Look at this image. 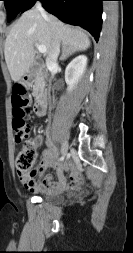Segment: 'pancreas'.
<instances>
[{"label": "pancreas", "mask_w": 133, "mask_h": 253, "mask_svg": "<svg viewBox=\"0 0 133 253\" xmlns=\"http://www.w3.org/2000/svg\"><path fill=\"white\" fill-rule=\"evenodd\" d=\"M40 88H41V82H40V80L37 78V79L35 80V85L33 86V95H34V96H37V95H38V92H39Z\"/></svg>", "instance_id": "pancreas-1"}]
</instances>
